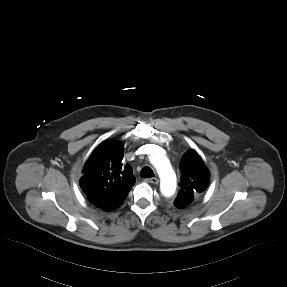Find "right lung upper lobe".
Listing matches in <instances>:
<instances>
[{
    "instance_id": "1",
    "label": "right lung upper lobe",
    "mask_w": 287,
    "mask_h": 287,
    "mask_svg": "<svg viewBox=\"0 0 287 287\" xmlns=\"http://www.w3.org/2000/svg\"><path fill=\"white\" fill-rule=\"evenodd\" d=\"M123 146L106 140L89 157L83 168L80 186L89 201L123 200L135 183L130 165H124Z\"/></svg>"
}]
</instances>
